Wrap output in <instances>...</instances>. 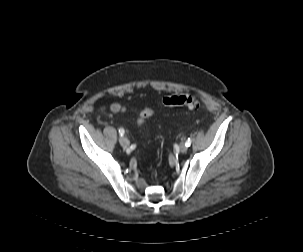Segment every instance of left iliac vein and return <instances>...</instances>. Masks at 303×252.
<instances>
[{"label": "left iliac vein", "instance_id": "4c4485c4", "mask_svg": "<svg viewBox=\"0 0 303 252\" xmlns=\"http://www.w3.org/2000/svg\"><path fill=\"white\" fill-rule=\"evenodd\" d=\"M187 149H188V147L186 146L185 143H181V144L179 145V150H180V152L185 153V152L187 151Z\"/></svg>", "mask_w": 303, "mask_h": 252}]
</instances>
